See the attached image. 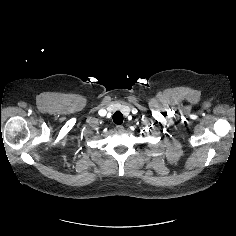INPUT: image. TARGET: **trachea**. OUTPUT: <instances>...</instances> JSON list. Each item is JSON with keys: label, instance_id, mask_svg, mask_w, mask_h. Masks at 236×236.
<instances>
[{"label": "trachea", "instance_id": "trachea-1", "mask_svg": "<svg viewBox=\"0 0 236 236\" xmlns=\"http://www.w3.org/2000/svg\"><path fill=\"white\" fill-rule=\"evenodd\" d=\"M113 121L115 124L120 125L123 123V115L121 112L117 111L113 114Z\"/></svg>", "mask_w": 236, "mask_h": 236}]
</instances>
